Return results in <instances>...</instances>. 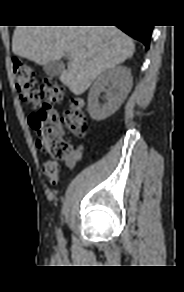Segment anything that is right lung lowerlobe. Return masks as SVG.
Instances as JSON below:
<instances>
[{
  "mask_svg": "<svg viewBox=\"0 0 184 292\" xmlns=\"http://www.w3.org/2000/svg\"><path fill=\"white\" fill-rule=\"evenodd\" d=\"M122 31H124L129 36L133 37L136 40L142 42L146 49L150 45V37L153 26L148 25H120L118 26Z\"/></svg>",
  "mask_w": 184,
  "mask_h": 292,
  "instance_id": "98d812e1",
  "label": "right lung lower lobe"
}]
</instances>
